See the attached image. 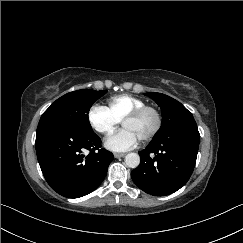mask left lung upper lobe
I'll use <instances>...</instances> for the list:
<instances>
[{"instance_id":"1","label":"left lung upper lobe","mask_w":243,"mask_h":243,"mask_svg":"<svg viewBox=\"0 0 243 243\" xmlns=\"http://www.w3.org/2000/svg\"><path fill=\"white\" fill-rule=\"evenodd\" d=\"M144 95L152 98L160 106L162 112V125L154 138L164 136L187 122L195 121L192 114L177 100L156 92Z\"/></svg>"}]
</instances>
